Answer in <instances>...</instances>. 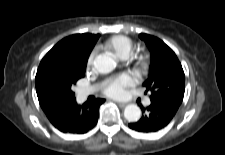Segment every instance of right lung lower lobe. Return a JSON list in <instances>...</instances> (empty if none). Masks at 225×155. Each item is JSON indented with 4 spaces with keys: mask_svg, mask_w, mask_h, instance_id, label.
<instances>
[{
    "mask_svg": "<svg viewBox=\"0 0 225 155\" xmlns=\"http://www.w3.org/2000/svg\"><path fill=\"white\" fill-rule=\"evenodd\" d=\"M104 101V99H97L91 105L80 106L75 99H72L58 104L45 113L50 122L60 131L83 134L96 125L99 106Z\"/></svg>",
    "mask_w": 225,
    "mask_h": 155,
    "instance_id": "obj_1",
    "label": "right lung lower lobe"
}]
</instances>
